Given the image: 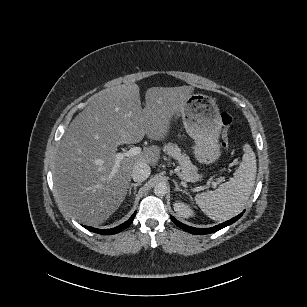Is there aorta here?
<instances>
[{
  "label": "aorta",
  "mask_w": 307,
  "mask_h": 307,
  "mask_svg": "<svg viewBox=\"0 0 307 307\" xmlns=\"http://www.w3.org/2000/svg\"><path fill=\"white\" fill-rule=\"evenodd\" d=\"M154 193L157 196H164L167 193V186L164 183H158L154 187Z\"/></svg>",
  "instance_id": "762f6f07"
}]
</instances>
